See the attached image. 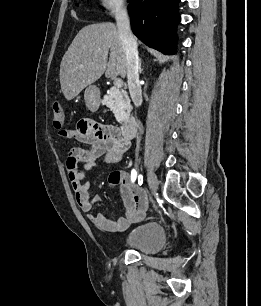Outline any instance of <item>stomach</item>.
I'll return each mask as SVG.
<instances>
[{
    "label": "stomach",
    "mask_w": 261,
    "mask_h": 306,
    "mask_svg": "<svg viewBox=\"0 0 261 306\" xmlns=\"http://www.w3.org/2000/svg\"><path fill=\"white\" fill-rule=\"evenodd\" d=\"M84 99L86 106L90 111H97L101 103L98 87L94 85L88 86L84 91Z\"/></svg>",
    "instance_id": "obj_1"
}]
</instances>
